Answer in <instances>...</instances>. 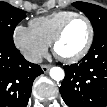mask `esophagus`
Segmentation results:
<instances>
[{
    "instance_id": "34e87169",
    "label": "esophagus",
    "mask_w": 107,
    "mask_h": 107,
    "mask_svg": "<svg viewBox=\"0 0 107 107\" xmlns=\"http://www.w3.org/2000/svg\"><path fill=\"white\" fill-rule=\"evenodd\" d=\"M41 68L44 73H47L49 69L51 68V65H41Z\"/></svg>"
}]
</instances>
